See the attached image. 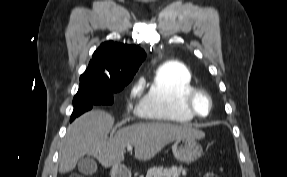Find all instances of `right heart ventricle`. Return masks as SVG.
<instances>
[{"label":"right heart ventricle","mask_w":287,"mask_h":177,"mask_svg":"<svg viewBox=\"0 0 287 177\" xmlns=\"http://www.w3.org/2000/svg\"><path fill=\"white\" fill-rule=\"evenodd\" d=\"M194 88L191 72L186 66L163 65L150 81L138 114L150 121L189 123L194 116L184 106V98Z\"/></svg>","instance_id":"e07e8e85"}]
</instances>
